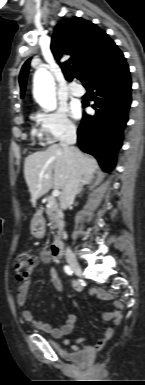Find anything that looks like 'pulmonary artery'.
<instances>
[{
  "label": "pulmonary artery",
  "mask_w": 145,
  "mask_h": 385,
  "mask_svg": "<svg viewBox=\"0 0 145 385\" xmlns=\"http://www.w3.org/2000/svg\"><path fill=\"white\" fill-rule=\"evenodd\" d=\"M70 91H71V93H72L74 96H77V97H81V96H83L84 93H85L84 88H83L80 84H77V83H74V84L70 87Z\"/></svg>",
  "instance_id": "pulmonary-artery-1"
}]
</instances>
